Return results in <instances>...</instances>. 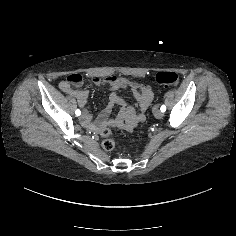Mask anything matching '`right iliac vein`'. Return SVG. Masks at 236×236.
<instances>
[{
	"instance_id": "63e3f726",
	"label": "right iliac vein",
	"mask_w": 236,
	"mask_h": 236,
	"mask_svg": "<svg viewBox=\"0 0 236 236\" xmlns=\"http://www.w3.org/2000/svg\"><path fill=\"white\" fill-rule=\"evenodd\" d=\"M86 116H87L86 113H83V114H82V118H85Z\"/></svg>"
}]
</instances>
